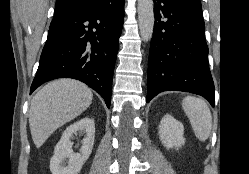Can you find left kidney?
<instances>
[{
	"label": "left kidney",
	"instance_id": "obj_1",
	"mask_svg": "<svg viewBox=\"0 0 249 174\" xmlns=\"http://www.w3.org/2000/svg\"><path fill=\"white\" fill-rule=\"evenodd\" d=\"M183 124L169 114H166L159 124V137L167 148H180L185 143Z\"/></svg>",
	"mask_w": 249,
	"mask_h": 174
}]
</instances>
